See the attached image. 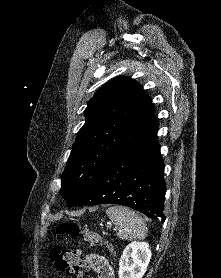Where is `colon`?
Segmentation results:
<instances>
[{
    "mask_svg": "<svg viewBox=\"0 0 221 278\" xmlns=\"http://www.w3.org/2000/svg\"><path fill=\"white\" fill-rule=\"evenodd\" d=\"M57 231L60 234L67 232L71 236L79 237L92 246L104 247L110 252L114 251V248L105 242L98 233L83 228L77 223L68 226L62 225L58 227ZM80 254L81 252L78 250L57 244L51 247L49 259L57 269L65 270L71 274H81L83 265Z\"/></svg>",
    "mask_w": 221,
    "mask_h": 278,
    "instance_id": "5ec220e1",
    "label": "colon"
}]
</instances>
